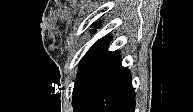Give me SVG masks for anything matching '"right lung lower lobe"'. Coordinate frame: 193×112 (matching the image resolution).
Here are the masks:
<instances>
[{
  "mask_svg": "<svg viewBox=\"0 0 193 112\" xmlns=\"http://www.w3.org/2000/svg\"><path fill=\"white\" fill-rule=\"evenodd\" d=\"M108 45L78 78L73 89L74 112L135 111L131 74L121 66L118 51H107Z\"/></svg>",
  "mask_w": 193,
  "mask_h": 112,
  "instance_id": "1",
  "label": "right lung lower lobe"
}]
</instances>
